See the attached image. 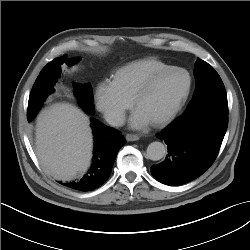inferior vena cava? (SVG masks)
<instances>
[{
	"label": "inferior vena cava",
	"instance_id": "obj_1",
	"mask_svg": "<svg viewBox=\"0 0 250 250\" xmlns=\"http://www.w3.org/2000/svg\"><path fill=\"white\" fill-rule=\"evenodd\" d=\"M105 120L112 126H122L125 123V116L121 112L110 111L105 114Z\"/></svg>",
	"mask_w": 250,
	"mask_h": 250
}]
</instances>
